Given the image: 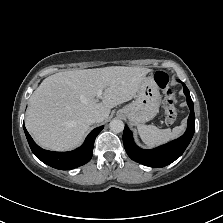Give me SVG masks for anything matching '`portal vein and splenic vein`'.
I'll return each instance as SVG.
<instances>
[{
	"mask_svg": "<svg viewBox=\"0 0 223 223\" xmlns=\"http://www.w3.org/2000/svg\"><path fill=\"white\" fill-rule=\"evenodd\" d=\"M102 94H103V88H99V89L96 91V99H100V98H102Z\"/></svg>",
	"mask_w": 223,
	"mask_h": 223,
	"instance_id": "obj_1",
	"label": "portal vein and splenic vein"
}]
</instances>
